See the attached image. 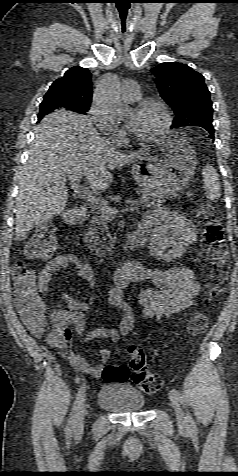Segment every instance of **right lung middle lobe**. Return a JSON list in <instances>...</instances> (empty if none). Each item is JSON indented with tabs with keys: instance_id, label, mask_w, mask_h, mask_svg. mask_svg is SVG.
<instances>
[{
	"instance_id": "1",
	"label": "right lung middle lobe",
	"mask_w": 238,
	"mask_h": 476,
	"mask_svg": "<svg viewBox=\"0 0 238 476\" xmlns=\"http://www.w3.org/2000/svg\"><path fill=\"white\" fill-rule=\"evenodd\" d=\"M58 109L59 108L53 103L42 102L41 105H40V112H39V115H38V119H41L44 115H46L50 112L56 111ZM88 109H89V106H79L74 111L84 114L88 111ZM60 111H62V110H60Z\"/></svg>"
}]
</instances>
